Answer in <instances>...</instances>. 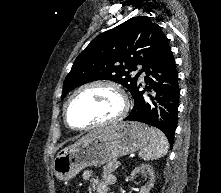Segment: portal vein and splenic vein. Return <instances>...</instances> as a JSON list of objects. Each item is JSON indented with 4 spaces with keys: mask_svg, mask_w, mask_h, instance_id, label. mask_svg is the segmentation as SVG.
Instances as JSON below:
<instances>
[{
    "mask_svg": "<svg viewBox=\"0 0 221 193\" xmlns=\"http://www.w3.org/2000/svg\"><path fill=\"white\" fill-rule=\"evenodd\" d=\"M117 165H118V166H120V165H121V162H120V161H118Z\"/></svg>",
    "mask_w": 221,
    "mask_h": 193,
    "instance_id": "18ae733b",
    "label": "portal vein and splenic vein"
}]
</instances>
